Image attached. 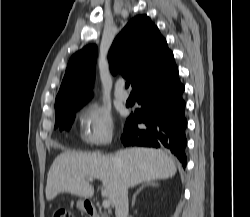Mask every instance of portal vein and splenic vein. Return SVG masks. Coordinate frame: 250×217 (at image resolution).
Returning <instances> with one entry per match:
<instances>
[{
    "instance_id": "1",
    "label": "portal vein and splenic vein",
    "mask_w": 250,
    "mask_h": 217,
    "mask_svg": "<svg viewBox=\"0 0 250 217\" xmlns=\"http://www.w3.org/2000/svg\"><path fill=\"white\" fill-rule=\"evenodd\" d=\"M88 181H93L92 179H89ZM102 206L104 207V208H109L110 207V201L109 200H103V203H102Z\"/></svg>"
}]
</instances>
